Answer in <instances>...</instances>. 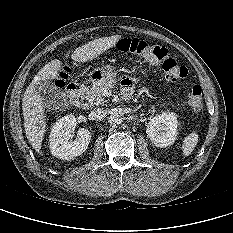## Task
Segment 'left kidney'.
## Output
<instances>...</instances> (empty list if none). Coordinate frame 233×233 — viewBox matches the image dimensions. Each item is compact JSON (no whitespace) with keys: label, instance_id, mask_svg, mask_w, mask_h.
<instances>
[{"label":"left kidney","instance_id":"obj_1","mask_svg":"<svg viewBox=\"0 0 233 233\" xmlns=\"http://www.w3.org/2000/svg\"><path fill=\"white\" fill-rule=\"evenodd\" d=\"M177 115L163 112L148 122L146 134L151 142L161 148L171 146L177 136Z\"/></svg>","mask_w":233,"mask_h":233}]
</instances>
